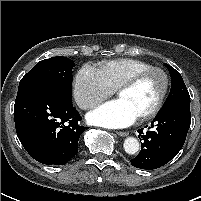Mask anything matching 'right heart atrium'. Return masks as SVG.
Masks as SVG:
<instances>
[{
    "mask_svg": "<svg viewBox=\"0 0 201 201\" xmlns=\"http://www.w3.org/2000/svg\"><path fill=\"white\" fill-rule=\"evenodd\" d=\"M112 94L97 68L84 65L75 75L73 97L81 109L91 110Z\"/></svg>",
    "mask_w": 201,
    "mask_h": 201,
    "instance_id": "1",
    "label": "right heart atrium"
}]
</instances>
